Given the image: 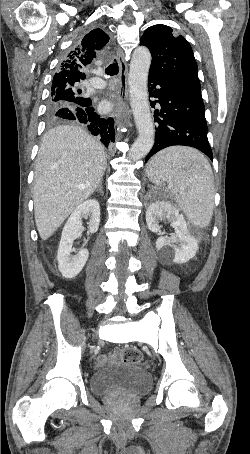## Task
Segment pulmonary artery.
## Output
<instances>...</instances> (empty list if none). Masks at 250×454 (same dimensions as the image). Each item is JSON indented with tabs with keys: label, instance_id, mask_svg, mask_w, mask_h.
I'll return each mask as SVG.
<instances>
[{
	"label": "pulmonary artery",
	"instance_id": "obj_1",
	"mask_svg": "<svg viewBox=\"0 0 250 454\" xmlns=\"http://www.w3.org/2000/svg\"><path fill=\"white\" fill-rule=\"evenodd\" d=\"M89 83L95 88H103L106 85L105 81L99 77H92Z\"/></svg>",
	"mask_w": 250,
	"mask_h": 454
}]
</instances>
